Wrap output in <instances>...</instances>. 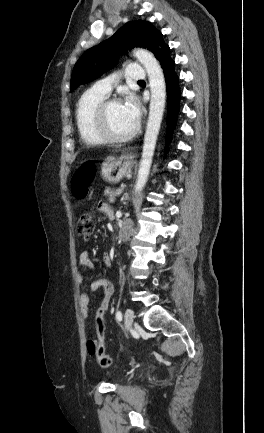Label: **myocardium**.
Segmentation results:
<instances>
[{"instance_id":"myocardium-1","label":"myocardium","mask_w":264,"mask_h":433,"mask_svg":"<svg viewBox=\"0 0 264 433\" xmlns=\"http://www.w3.org/2000/svg\"><path fill=\"white\" fill-rule=\"evenodd\" d=\"M121 103L118 98H108L102 101L96 108L93 115V125L95 131L99 134V136L108 142H126L132 139L139 131L140 124L136 122L135 126L126 134L117 135L114 134L109 126L107 121V111L108 108L114 104Z\"/></svg>"}]
</instances>
